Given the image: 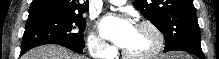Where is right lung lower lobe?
Wrapping results in <instances>:
<instances>
[{
	"label": "right lung lower lobe",
	"mask_w": 219,
	"mask_h": 59,
	"mask_svg": "<svg viewBox=\"0 0 219 59\" xmlns=\"http://www.w3.org/2000/svg\"><path fill=\"white\" fill-rule=\"evenodd\" d=\"M64 47H66V48H68V49H70V50H72V51H75V52H77V53H82L83 52V48L82 47H77V46H71V45H66V46H64ZM24 53H20V56L21 55H23Z\"/></svg>",
	"instance_id": "obj_1"
}]
</instances>
